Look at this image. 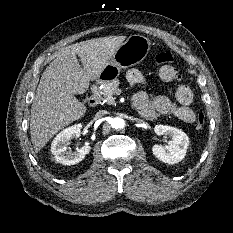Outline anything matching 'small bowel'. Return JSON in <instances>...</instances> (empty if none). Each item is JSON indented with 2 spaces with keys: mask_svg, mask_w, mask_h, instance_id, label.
Returning a JSON list of instances; mask_svg holds the SVG:
<instances>
[{
  "mask_svg": "<svg viewBox=\"0 0 233 233\" xmlns=\"http://www.w3.org/2000/svg\"><path fill=\"white\" fill-rule=\"evenodd\" d=\"M126 79L131 85H145L146 79L138 69H130L126 74ZM180 78L176 82L175 99L173 103L165 95H149L146 91H138L134 97V105L139 113L150 120L157 119L164 115H173L179 120L192 123L195 120V113L190 108L193 102V92L188 85L180 83Z\"/></svg>",
  "mask_w": 233,
  "mask_h": 233,
  "instance_id": "1",
  "label": "small bowel"
}]
</instances>
